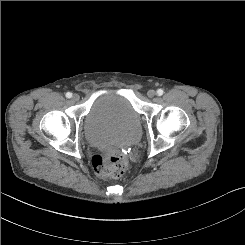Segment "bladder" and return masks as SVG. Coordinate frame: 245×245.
I'll list each match as a JSON object with an SVG mask.
<instances>
[{"label": "bladder", "instance_id": "obj_1", "mask_svg": "<svg viewBox=\"0 0 245 245\" xmlns=\"http://www.w3.org/2000/svg\"><path fill=\"white\" fill-rule=\"evenodd\" d=\"M83 132L91 144L128 147L140 137V117L125 96L104 94L94 100L85 115Z\"/></svg>", "mask_w": 245, "mask_h": 245}]
</instances>
